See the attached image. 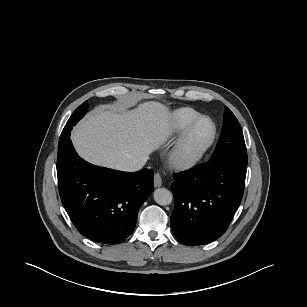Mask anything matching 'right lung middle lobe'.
<instances>
[{"mask_svg": "<svg viewBox=\"0 0 307 307\" xmlns=\"http://www.w3.org/2000/svg\"><path fill=\"white\" fill-rule=\"evenodd\" d=\"M87 108H88V104H87V101H85L71 115V117L67 121L66 126L64 127L62 134L60 136L58 150L64 147L66 143V139L70 135V131L72 130V127L85 115Z\"/></svg>", "mask_w": 307, "mask_h": 307, "instance_id": "obj_1", "label": "right lung middle lobe"}]
</instances>
